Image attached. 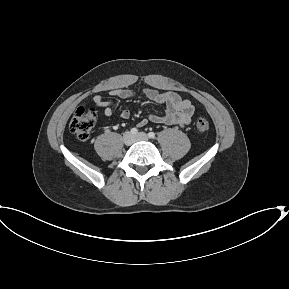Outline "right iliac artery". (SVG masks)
Listing matches in <instances>:
<instances>
[{
	"mask_svg": "<svg viewBox=\"0 0 289 289\" xmlns=\"http://www.w3.org/2000/svg\"><path fill=\"white\" fill-rule=\"evenodd\" d=\"M131 134L136 135L138 133V129L137 128H132L130 130Z\"/></svg>",
	"mask_w": 289,
	"mask_h": 289,
	"instance_id": "right-iliac-artery-1",
	"label": "right iliac artery"
}]
</instances>
